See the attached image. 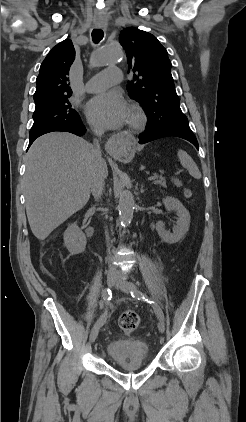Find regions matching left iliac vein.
I'll return each mask as SVG.
<instances>
[{"label":"left iliac vein","instance_id":"left-iliac-vein-1","mask_svg":"<svg viewBox=\"0 0 246 422\" xmlns=\"http://www.w3.org/2000/svg\"><path fill=\"white\" fill-rule=\"evenodd\" d=\"M116 286L120 288L125 293H130L131 290L136 289V286L128 281L118 279L116 282ZM158 330L163 333L165 330V324L163 321H159L158 323Z\"/></svg>","mask_w":246,"mask_h":422}]
</instances>
